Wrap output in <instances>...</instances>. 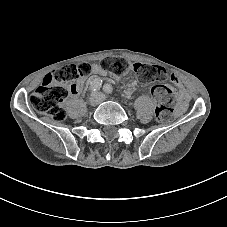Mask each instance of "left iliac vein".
I'll return each mask as SVG.
<instances>
[{
    "label": "left iliac vein",
    "instance_id": "obj_1",
    "mask_svg": "<svg viewBox=\"0 0 227 227\" xmlns=\"http://www.w3.org/2000/svg\"><path fill=\"white\" fill-rule=\"evenodd\" d=\"M97 96L100 98L101 102L107 100V97L102 93H97Z\"/></svg>",
    "mask_w": 227,
    "mask_h": 227
}]
</instances>
